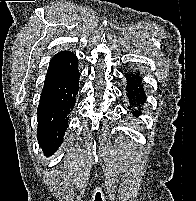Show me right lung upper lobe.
Segmentation results:
<instances>
[{
  "label": "right lung upper lobe",
  "mask_w": 196,
  "mask_h": 201,
  "mask_svg": "<svg viewBox=\"0 0 196 201\" xmlns=\"http://www.w3.org/2000/svg\"><path fill=\"white\" fill-rule=\"evenodd\" d=\"M61 53H71V52H65V51H64V52H61Z\"/></svg>",
  "instance_id": "obj_1"
}]
</instances>
